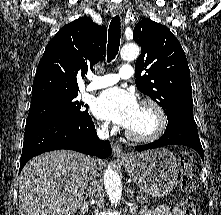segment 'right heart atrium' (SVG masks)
<instances>
[{
	"label": "right heart atrium",
	"mask_w": 221,
	"mask_h": 215,
	"mask_svg": "<svg viewBox=\"0 0 221 215\" xmlns=\"http://www.w3.org/2000/svg\"><path fill=\"white\" fill-rule=\"evenodd\" d=\"M97 130L100 134L106 135L111 131V128L107 122H99L97 124Z\"/></svg>",
	"instance_id": "d8ad5b80"
}]
</instances>
